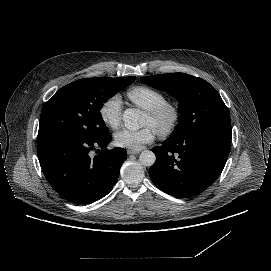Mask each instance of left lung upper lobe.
I'll return each mask as SVG.
<instances>
[{"instance_id":"1","label":"left lung upper lobe","mask_w":271,"mask_h":271,"mask_svg":"<svg viewBox=\"0 0 271 271\" xmlns=\"http://www.w3.org/2000/svg\"><path fill=\"white\" fill-rule=\"evenodd\" d=\"M141 81L173 95L179 102L180 121L169 138L206 128L231 129L226 105L205 80L185 73H170L142 77Z\"/></svg>"}]
</instances>
